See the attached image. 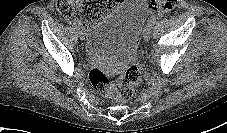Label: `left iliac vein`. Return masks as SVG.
I'll return each mask as SVG.
<instances>
[{"label": "left iliac vein", "instance_id": "obj_1", "mask_svg": "<svg viewBox=\"0 0 227 133\" xmlns=\"http://www.w3.org/2000/svg\"><path fill=\"white\" fill-rule=\"evenodd\" d=\"M151 32H152V27L147 25L144 28V30H143V39H144V41H148L150 39Z\"/></svg>", "mask_w": 227, "mask_h": 133}]
</instances>
